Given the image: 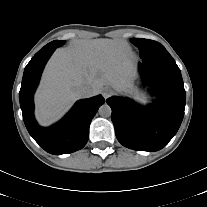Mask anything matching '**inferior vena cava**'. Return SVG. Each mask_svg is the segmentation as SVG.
Returning a JSON list of instances; mask_svg holds the SVG:
<instances>
[{
    "label": "inferior vena cava",
    "instance_id": "inferior-vena-cava-1",
    "mask_svg": "<svg viewBox=\"0 0 207 207\" xmlns=\"http://www.w3.org/2000/svg\"><path fill=\"white\" fill-rule=\"evenodd\" d=\"M77 93L79 94L80 97H91L93 95V90L91 87L87 85H82L77 88Z\"/></svg>",
    "mask_w": 207,
    "mask_h": 207
}]
</instances>
